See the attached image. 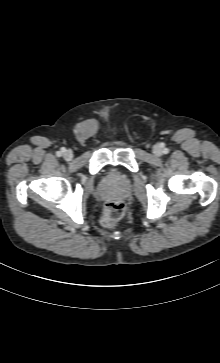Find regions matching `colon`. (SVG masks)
<instances>
[{
	"label": "colon",
	"instance_id": "obj_1",
	"mask_svg": "<svg viewBox=\"0 0 220 363\" xmlns=\"http://www.w3.org/2000/svg\"><path fill=\"white\" fill-rule=\"evenodd\" d=\"M126 206L121 200H112L105 204L101 222L106 227L114 226L125 214Z\"/></svg>",
	"mask_w": 220,
	"mask_h": 363
}]
</instances>
